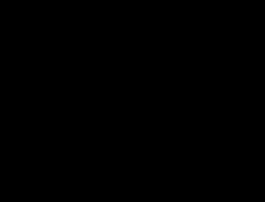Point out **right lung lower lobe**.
I'll list each match as a JSON object with an SVG mask.
<instances>
[{
  "label": "right lung lower lobe",
  "instance_id": "obj_1",
  "mask_svg": "<svg viewBox=\"0 0 265 202\" xmlns=\"http://www.w3.org/2000/svg\"><path fill=\"white\" fill-rule=\"evenodd\" d=\"M64 96L61 101L58 99L61 103L58 102L69 106L73 97ZM78 104L80 119L89 124V127L76 134L59 132L56 138L58 141H64L82 160L90 161L102 157L109 151L118 125L133 115L135 109L120 101L118 87L110 81L83 83L79 90ZM100 110L103 115L94 119L96 112Z\"/></svg>",
  "mask_w": 265,
  "mask_h": 202
}]
</instances>
